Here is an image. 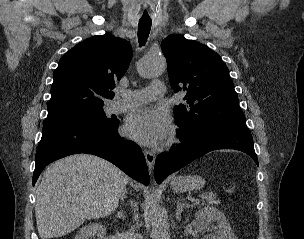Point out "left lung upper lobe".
<instances>
[{"mask_svg": "<svg viewBox=\"0 0 304 239\" xmlns=\"http://www.w3.org/2000/svg\"><path fill=\"white\" fill-rule=\"evenodd\" d=\"M161 47L174 91L187 92L185 104L174 107L184 135L196 137L222 127L247 128L228 68L216 52L180 35H169Z\"/></svg>", "mask_w": 304, "mask_h": 239, "instance_id": "obj_1", "label": "left lung upper lobe"}]
</instances>
